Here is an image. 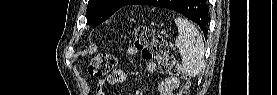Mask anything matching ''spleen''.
Segmentation results:
<instances>
[{"label":"spleen","mask_w":277,"mask_h":95,"mask_svg":"<svg viewBox=\"0 0 277 95\" xmlns=\"http://www.w3.org/2000/svg\"><path fill=\"white\" fill-rule=\"evenodd\" d=\"M175 23L179 35L175 41L182 57L184 72L189 76H197L204 62V43L198 29L188 20L176 18Z\"/></svg>","instance_id":"spleen-1"}]
</instances>
